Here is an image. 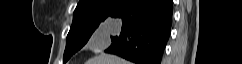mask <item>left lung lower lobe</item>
Masks as SVG:
<instances>
[{"label":"left lung lower lobe","instance_id":"1","mask_svg":"<svg viewBox=\"0 0 242 64\" xmlns=\"http://www.w3.org/2000/svg\"><path fill=\"white\" fill-rule=\"evenodd\" d=\"M172 0H126L108 18L121 22V31L111 37L105 53L135 64H160L169 39Z\"/></svg>","mask_w":242,"mask_h":64}]
</instances>
